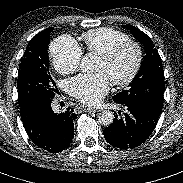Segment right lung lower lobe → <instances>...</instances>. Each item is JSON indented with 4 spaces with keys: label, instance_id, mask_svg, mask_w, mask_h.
<instances>
[{
    "label": "right lung lower lobe",
    "instance_id": "right-lung-lower-lobe-1",
    "mask_svg": "<svg viewBox=\"0 0 183 183\" xmlns=\"http://www.w3.org/2000/svg\"><path fill=\"white\" fill-rule=\"evenodd\" d=\"M51 99H29L20 107V115L33 143L43 150L58 153L70 146L74 137L73 122L77 116L68 108L64 113H54Z\"/></svg>",
    "mask_w": 183,
    "mask_h": 183
}]
</instances>
